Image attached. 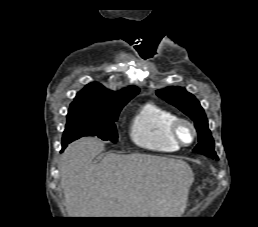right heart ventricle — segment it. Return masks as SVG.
Wrapping results in <instances>:
<instances>
[{"instance_id": "e07e8e85", "label": "right heart ventricle", "mask_w": 258, "mask_h": 227, "mask_svg": "<svg viewBox=\"0 0 258 227\" xmlns=\"http://www.w3.org/2000/svg\"><path fill=\"white\" fill-rule=\"evenodd\" d=\"M176 118L170 110L153 102L144 103L132 118L130 136L140 148L159 152H176L180 146L170 133V125Z\"/></svg>"}]
</instances>
